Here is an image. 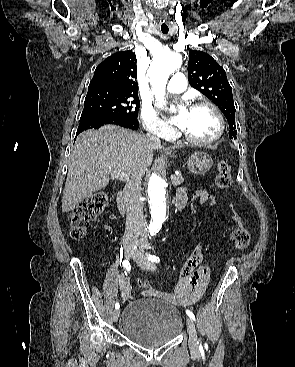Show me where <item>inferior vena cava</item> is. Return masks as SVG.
<instances>
[{"label":"inferior vena cava","instance_id":"inferior-vena-cava-1","mask_svg":"<svg viewBox=\"0 0 295 367\" xmlns=\"http://www.w3.org/2000/svg\"><path fill=\"white\" fill-rule=\"evenodd\" d=\"M155 144H160V139L153 134L146 136ZM126 203L127 217L123 245H133L143 230V202L141 200V180L130 179L123 189Z\"/></svg>","mask_w":295,"mask_h":367}]
</instances>
